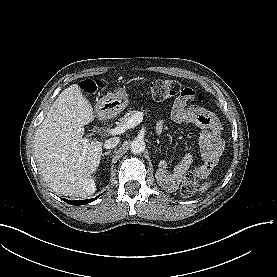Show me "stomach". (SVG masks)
<instances>
[{"mask_svg": "<svg viewBox=\"0 0 277 277\" xmlns=\"http://www.w3.org/2000/svg\"><path fill=\"white\" fill-rule=\"evenodd\" d=\"M128 103L129 95L123 88H118L101 99L102 109L112 115L123 111L128 106Z\"/></svg>", "mask_w": 277, "mask_h": 277, "instance_id": "1", "label": "stomach"}]
</instances>
